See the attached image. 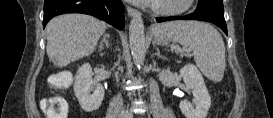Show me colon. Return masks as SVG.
<instances>
[{
	"instance_id": "obj_1",
	"label": "colon",
	"mask_w": 273,
	"mask_h": 118,
	"mask_svg": "<svg viewBox=\"0 0 273 118\" xmlns=\"http://www.w3.org/2000/svg\"><path fill=\"white\" fill-rule=\"evenodd\" d=\"M51 83L58 89L64 87L66 84L64 80H59L55 77L51 78ZM41 108L47 118H65L67 114L66 101L59 95L43 99L41 101Z\"/></svg>"
}]
</instances>
